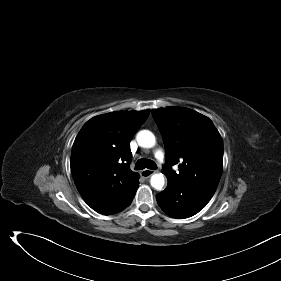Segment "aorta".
<instances>
[{
	"instance_id": "aorta-1",
	"label": "aorta",
	"mask_w": 281,
	"mask_h": 281,
	"mask_svg": "<svg viewBox=\"0 0 281 281\" xmlns=\"http://www.w3.org/2000/svg\"><path fill=\"white\" fill-rule=\"evenodd\" d=\"M136 140L139 146L144 148H152L156 143L154 134L149 130H141L138 132ZM150 184L154 189L162 190L165 184L164 175L162 173L153 174L150 179Z\"/></svg>"
}]
</instances>
